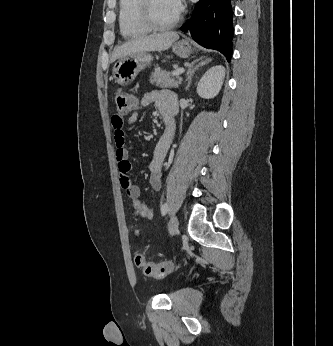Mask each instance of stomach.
Instances as JSON below:
<instances>
[{
	"label": "stomach",
	"instance_id": "obj_1",
	"mask_svg": "<svg viewBox=\"0 0 333 346\" xmlns=\"http://www.w3.org/2000/svg\"><path fill=\"white\" fill-rule=\"evenodd\" d=\"M172 51L182 58H188L194 54L195 49L186 40H181L172 45ZM153 57L147 52H140L120 58L113 66L112 74L116 83L122 86L129 85L137 77L138 73L147 67Z\"/></svg>",
	"mask_w": 333,
	"mask_h": 346
}]
</instances>
